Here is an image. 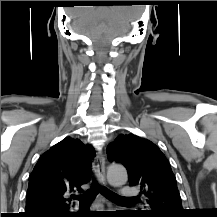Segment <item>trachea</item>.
Masks as SVG:
<instances>
[{"mask_svg": "<svg viewBox=\"0 0 217 217\" xmlns=\"http://www.w3.org/2000/svg\"><path fill=\"white\" fill-rule=\"evenodd\" d=\"M98 192H101L109 200L114 201V202L123 201V200H127V199H134V198L122 197V196L110 191L107 188H102L99 186V184L96 181L93 182L90 190H87L85 193H83L79 196H74L73 198L79 200V203L81 206H87V205L91 204V202L94 200V198L96 197Z\"/></svg>", "mask_w": 217, "mask_h": 217, "instance_id": "1", "label": "trachea"}]
</instances>
